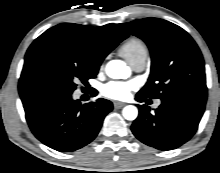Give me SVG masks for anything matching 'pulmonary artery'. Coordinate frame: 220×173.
<instances>
[{
    "label": "pulmonary artery",
    "instance_id": "1",
    "mask_svg": "<svg viewBox=\"0 0 220 173\" xmlns=\"http://www.w3.org/2000/svg\"><path fill=\"white\" fill-rule=\"evenodd\" d=\"M147 56H139L130 62L131 67L135 71H142L146 66ZM160 105V101L155 103V107Z\"/></svg>",
    "mask_w": 220,
    "mask_h": 173
}]
</instances>
